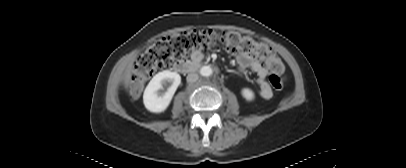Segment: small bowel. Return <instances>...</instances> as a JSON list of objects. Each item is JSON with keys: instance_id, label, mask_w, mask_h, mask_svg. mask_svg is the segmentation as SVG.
<instances>
[{"instance_id": "1", "label": "small bowel", "mask_w": 406, "mask_h": 168, "mask_svg": "<svg viewBox=\"0 0 406 168\" xmlns=\"http://www.w3.org/2000/svg\"><path fill=\"white\" fill-rule=\"evenodd\" d=\"M203 58L202 51L193 53L194 60H201ZM234 59L237 68L240 72H245L247 69H251L257 75V83L259 86L258 94L263 99H269L272 97V89L266 81L268 74V68L256 58L245 55L242 53H235Z\"/></svg>"}]
</instances>
